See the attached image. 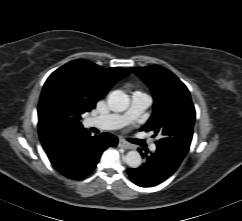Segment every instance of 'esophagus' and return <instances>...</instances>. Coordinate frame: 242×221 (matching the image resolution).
<instances>
[{"label": "esophagus", "mask_w": 242, "mask_h": 221, "mask_svg": "<svg viewBox=\"0 0 242 221\" xmlns=\"http://www.w3.org/2000/svg\"><path fill=\"white\" fill-rule=\"evenodd\" d=\"M119 147H122V148H125V149H132L133 146L128 144L127 142H125L124 140H119V143H118Z\"/></svg>", "instance_id": "esophagus-1"}]
</instances>
